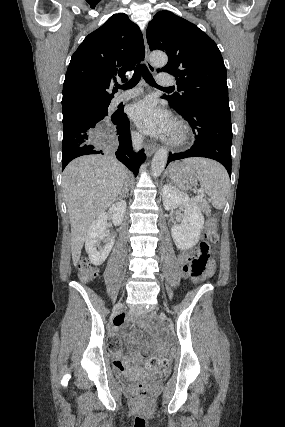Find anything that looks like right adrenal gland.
I'll use <instances>...</instances> for the list:
<instances>
[{
	"label": "right adrenal gland",
	"mask_w": 285,
	"mask_h": 427,
	"mask_svg": "<svg viewBox=\"0 0 285 427\" xmlns=\"http://www.w3.org/2000/svg\"><path fill=\"white\" fill-rule=\"evenodd\" d=\"M120 198H128L129 197V190L128 188H126L125 190H123L120 194H119Z\"/></svg>",
	"instance_id": "1"
}]
</instances>
